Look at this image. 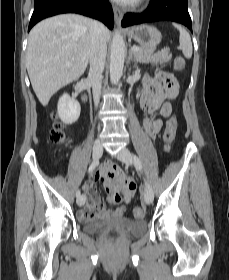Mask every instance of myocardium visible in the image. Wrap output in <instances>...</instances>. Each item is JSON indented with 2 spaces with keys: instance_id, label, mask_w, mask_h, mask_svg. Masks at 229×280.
I'll list each match as a JSON object with an SVG mask.
<instances>
[{
  "instance_id": "myocardium-1",
  "label": "myocardium",
  "mask_w": 229,
  "mask_h": 280,
  "mask_svg": "<svg viewBox=\"0 0 229 280\" xmlns=\"http://www.w3.org/2000/svg\"><path fill=\"white\" fill-rule=\"evenodd\" d=\"M144 0H137L133 5H138L140 4L141 2H143Z\"/></svg>"
}]
</instances>
